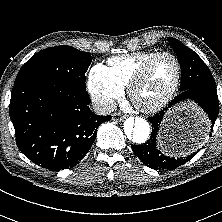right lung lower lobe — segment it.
Instances as JSON below:
<instances>
[{"instance_id": "obj_1", "label": "right lung lower lobe", "mask_w": 222, "mask_h": 222, "mask_svg": "<svg viewBox=\"0 0 222 222\" xmlns=\"http://www.w3.org/2000/svg\"><path fill=\"white\" fill-rule=\"evenodd\" d=\"M90 103L86 91L57 81H15L9 114L18 148L49 170L75 166L91 148L99 125L111 119L93 113Z\"/></svg>"}]
</instances>
